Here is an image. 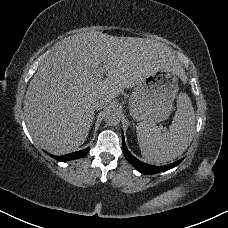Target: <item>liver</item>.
<instances>
[{
	"mask_svg": "<svg viewBox=\"0 0 228 228\" xmlns=\"http://www.w3.org/2000/svg\"><path fill=\"white\" fill-rule=\"evenodd\" d=\"M102 65L105 79L98 77ZM158 70L184 73L171 48L151 39L99 31L63 39L42 61L25 94L24 116L34 143L56 155L75 151L93 123V96L109 104Z\"/></svg>",
	"mask_w": 228,
	"mask_h": 228,
	"instance_id": "liver-1",
	"label": "liver"
}]
</instances>
